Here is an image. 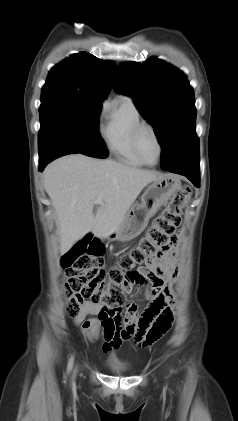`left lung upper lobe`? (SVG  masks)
<instances>
[{"label":"left lung upper lobe","instance_id":"obj_1","mask_svg":"<svg viewBox=\"0 0 238 421\" xmlns=\"http://www.w3.org/2000/svg\"><path fill=\"white\" fill-rule=\"evenodd\" d=\"M113 88L131 96L152 124L162 147V168L172 167L199 147L194 92L182 71L155 57L127 62L119 67Z\"/></svg>","mask_w":238,"mask_h":421}]
</instances>
